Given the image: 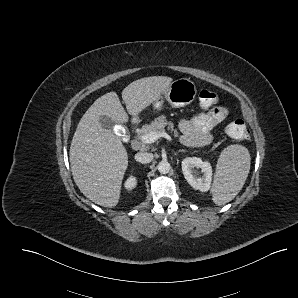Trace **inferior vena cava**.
I'll use <instances>...</instances> for the list:
<instances>
[{"label":"inferior vena cava","mask_w":298,"mask_h":298,"mask_svg":"<svg viewBox=\"0 0 298 298\" xmlns=\"http://www.w3.org/2000/svg\"><path fill=\"white\" fill-rule=\"evenodd\" d=\"M153 158H154L153 154L148 152H138L135 154V160L142 164H147L152 162Z\"/></svg>","instance_id":"inferior-vena-cava-1"}]
</instances>
